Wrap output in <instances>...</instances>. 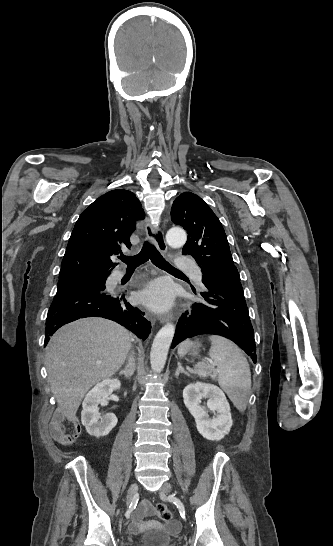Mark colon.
Listing matches in <instances>:
<instances>
[{
	"label": "colon",
	"instance_id": "5ec220e1",
	"mask_svg": "<svg viewBox=\"0 0 333 546\" xmlns=\"http://www.w3.org/2000/svg\"><path fill=\"white\" fill-rule=\"evenodd\" d=\"M157 515L164 521H170L172 519L171 512L169 508L162 503H158L155 507Z\"/></svg>",
	"mask_w": 333,
	"mask_h": 546
}]
</instances>
